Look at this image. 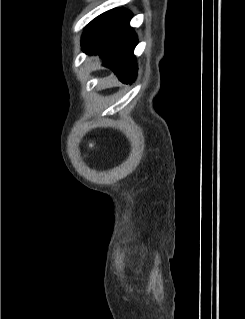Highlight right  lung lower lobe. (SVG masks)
I'll return each mask as SVG.
<instances>
[{"mask_svg": "<svg viewBox=\"0 0 245 319\" xmlns=\"http://www.w3.org/2000/svg\"><path fill=\"white\" fill-rule=\"evenodd\" d=\"M132 13L119 9L97 25L86 29L82 38L84 50L99 54L106 67L111 68L119 80L132 83L137 75V63L133 55L137 36L130 27Z\"/></svg>", "mask_w": 245, "mask_h": 319, "instance_id": "obj_1", "label": "right lung lower lobe"}]
</instances>
